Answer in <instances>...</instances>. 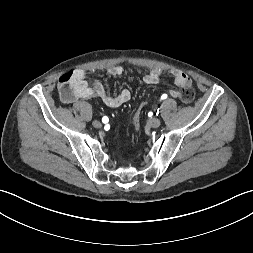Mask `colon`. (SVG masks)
Wrapping results in <instances>:
<instances>
[{
    "label": "colon",
    "mask_w": 253,
    "mask_h": 253,
    "mask_svg": "<svg viewBox=\"0 0 253 253\" xmlns=\"http://www.w3.org/2000/svg\"><path fill=\"white\" fill-rule=\"evenodd\" d=\"M70 79V74L67 73V74H64L63 76H61L60 78V83H61V88L64 92L67 91V86H68V81ZM181 101L183 103H190L193 98H194V90L191 88V87H186L184 89L181 90ZM146 107L143 105L139 111L137 112V117H136V120H135V129L137 130L139 128V124H140V121H141V117H142V114H143V111Z\"/></svg>",
    "instance_id": "5ec220e1"
}]
</instances>
